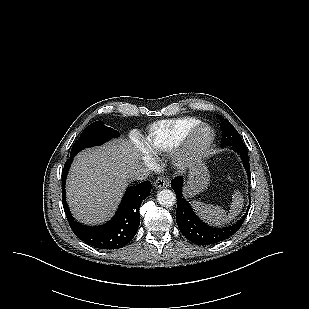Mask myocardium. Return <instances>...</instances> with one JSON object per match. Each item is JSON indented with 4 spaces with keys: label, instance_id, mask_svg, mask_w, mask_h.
I'll list each match as a JSON object with an SVG mask.
<instances>
[{
    "label": "myocardium",
    "instance_id": "f54148a6",
    "mask_svg": "<svg viewBox=\"0 0 309 309\" xmlns=\"http://www.w3.org/2000/svg\"><path fill=\"white\" fill-rule=\"evenodd\" d=\"M202 129L209 130V138L205 142H198V134ZM215 140V131L212 126L207 123H199L195 125L187 134L182 142L181 148L173 154V159L178 165L186 166L191 161L196 160L205 153Z\"/></svg>",
    "mask_w": 309,
    "mask_h": 309
}]
</instances>
